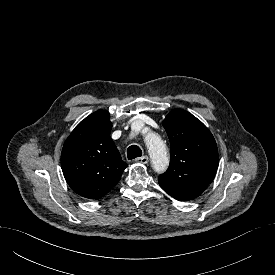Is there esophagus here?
Masks as SVG:
<instances>
[{
  "label": "esophagus",
  "mask_w": 275,
  "mask_h": 275,
  "mask_svg": "<svg viewBox=\"0 0 275 275\" xmlns=\"http://www.w3.org/2000/svg\"><path fill=\"white\" fill-rule=\"evenodd\" d=\"M135 161L138 163L147 164L149 162V158H148V156L144 155V156L136 158Z\"/></svg>",
  "instance_id": "obj_1"
}]
</instances>
